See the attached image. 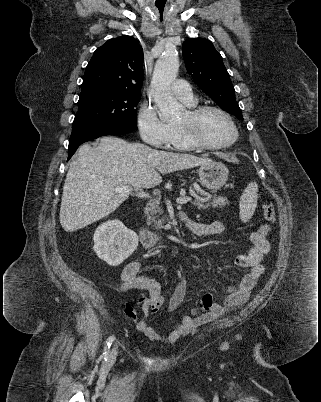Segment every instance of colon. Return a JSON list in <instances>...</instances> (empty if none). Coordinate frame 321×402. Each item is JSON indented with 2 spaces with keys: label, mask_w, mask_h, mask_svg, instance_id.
<instances>
[{
  "label": "colon",
  "mask_w": 321,
  "mask_h": 402,
  "mask_svg": "<svg viewBox=\"0 0 321 402\" xmlns=\"http://www.w3.org/2000/svg\"><path fill=\"white\" fill-rule=\"evenodd\" d=\"M263 216H264L265 220H267V221L274 220L275 210H274V206L272 203H266L264 205ZM210 305H211V303L207 301V302H205V304L202 307H203V309H208L210 307ZM125 312L128 316H131V317H133L135 315L133 309L129 306L126 307Z\"/></svg>",
  "instance_id": "obj_1"
}]
</instances>
